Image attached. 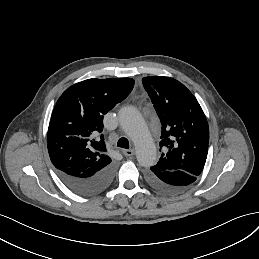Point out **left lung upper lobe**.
Returning <instances> with one entry per match:
<instances>
[{
  "label": "left lung upper lobe",
  "instance_id": "1",
  "mask_svg": "<svg viewBox=\"0 0 259 259\" xmlns=\"http://www.w3.org/2000/svg\"><path fill=\"white\" fill-rule=\"evenodd\" d=\"M142 82L162 125L160 151L164 152L151 170L199 176L207 158L209 126L197 99L170 77H144Z\"/></svg>",
  "mask_w": 259,
  "mask_h": 259
}]
</instances>
